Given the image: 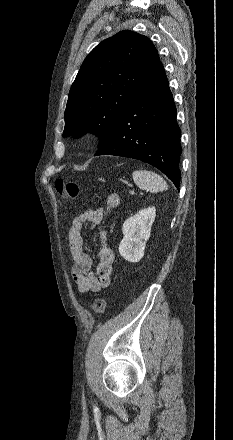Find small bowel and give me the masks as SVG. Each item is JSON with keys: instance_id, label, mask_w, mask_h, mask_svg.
Returning <instances> with one entry per match:
<instances>
[{"instance_id": "obj_1", "label": "small bowel", "mask_w": 233, "mask_h": 440, "mask_svg": "<svg viewBox=\"0 0 233 440\" xmlns=\"http://www.w3.org/2000/svg\"><path fill=\"white\" fill-rule=\"evenodd\" d=\"M119 204V196L115 193L109 194L103 205L86 210L72 222L69 233V249L73 258L70 275L81 293L99 292L109 286L115 258L112 248L105 242L106 233L102 230L97 267L95 272L91 270L92 259L84 250L82 224L87 221L94 226L101 225L105 215L116 210Z\"/></svg>"}]
</instances>
